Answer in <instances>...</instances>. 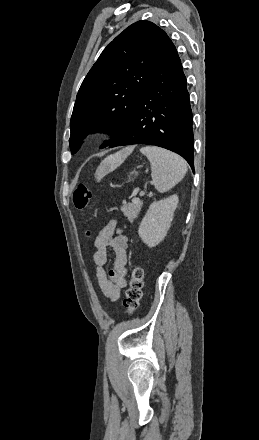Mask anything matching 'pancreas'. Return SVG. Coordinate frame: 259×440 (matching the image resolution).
<instances>
[{
    "mask_svg": "<svg viewBox=\"0 0 259 440\" xmlns=\"http://www.w3.org/2000/svg\"><path fill=\"white\" fill-rule=\"evenodd\" d=\"M142 205L143 203L141 201L135 203L132 200V202L124 204L121 207V211L130 221H133L135 218L138 217Z\"/></svg>",
    "mask_w": 259,
    "mask_h": 440,
    "instance_id": "obj_1",
    "label": "pancreas"
}]
</instances>
